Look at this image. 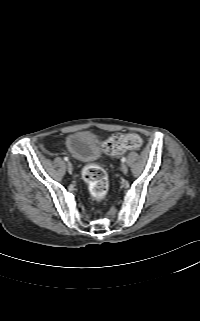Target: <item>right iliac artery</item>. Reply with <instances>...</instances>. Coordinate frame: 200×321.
Wrapping results in <instances>:
<instances>
[{"mask_svg": "<svg viewBox=\"0 0 200 321\" xmlns=\"http://www.w3.org/2000/svg\"><path fill=\"white\" fill-rule=\"evenodd\" d=\"M64 160H65V161H68V157H64Z\"/></svg>", "mask_w": 200, "mask_h": 321, "instance_id": "obj_1", "label": "right iliac artery"}]
</instances>
